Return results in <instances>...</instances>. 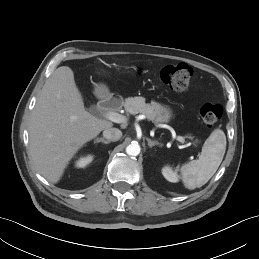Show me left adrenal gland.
I'll return each mask as SVG.
<instances>
[{"instance_id":"left-adrenal-gland-1","label":"left adrenal gland","mask_w":259,"mask_h":259,"mask_svg":"<svg viewBox=\"0 0 259 259\" xmlns=\"http://www.w3.org/2000/svg\"><path fill=\"white\" fill-rule=\"evenodd\" d=\"M147 142H148V146L150 148H152L153 146L157 145V146H161V144L157 141H152L151 139L147 138Z\"/></svg>"}]
</instances>
